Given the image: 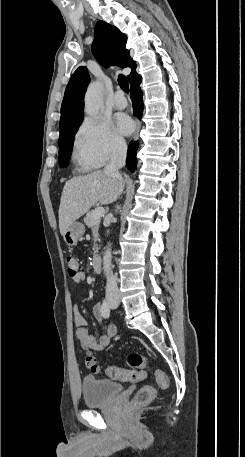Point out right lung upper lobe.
I'll list each match as a JSON object with an SVG mask.
<instances>
[{
  "label": "right lung upper lobe",
  "instance_id": "obj_1",
  "mask_svg": "<svg viewBox=\"0 0 245 457\" xmlns=\"http://www.w3.org/2000/svg\"><path fill=\"white\" fill-rule=\"evenodd\" d=\"M94 37L92 52L102 66L130 67L131 73L127 76L129 82L139 76L136 73V62L130 58V51L125 47L127 37L117 27L104 21H98ZM88 83L87 68L78 67L64 93L59 127L83 120V100Z\"/></svg>",
  "mask_w": 245,
  "mask_h": 457
}]
</instances>
